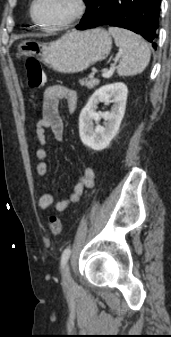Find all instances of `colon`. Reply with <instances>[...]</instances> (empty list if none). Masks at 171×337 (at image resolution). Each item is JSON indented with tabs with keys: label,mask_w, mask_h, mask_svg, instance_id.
<instances>
[{
	"label": "colon",
	"mask_w": 171,
	"mask_h": 337,
	"mask_svg": "<svg viewBox=\"0 0 171 337\" xmlns=\"http://www.w3.org/2000/svg\"><path fill=\"white\" fill-rule=\"evenodd\" d=\"M28 85L32 89H40L44 86L46 76L41 63L35 58H29L25 62ZM49 230L53 235H59L62 231V221L58 216L49 219Z\"/></svg>",
	"instance_id": "5ec220e1"
}]
</instances>
